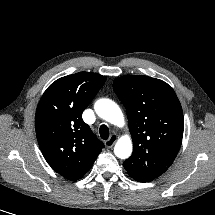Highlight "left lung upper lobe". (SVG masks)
I'll list each match as a JSON object with an SVG mask.
<instances>
[{
  "instance_id": "1",
  "label": "left lung upper lobe",
  "mask_w": 215,
  "mask_h": 215,
  "mask_svg": "<svg viewBox=\"0 0 215 215\" xmlns=\"http://www.w3.org/2000/svg\"><path fill=\"white\" fill-rule=\"evenodd\" d=\"M113 89L127 111L133 153L124 162L129 175L149 182L163 174L178 154L183 111L174 90L148 76H122Z\"/></svg>"
}]
</instances>
